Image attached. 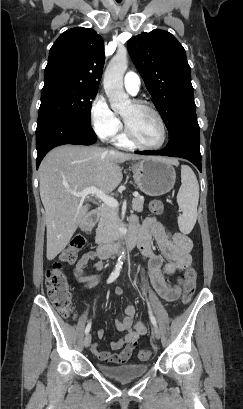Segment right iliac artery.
<instances>
[{"instance_id": "1", "label": "right iliac artery", "mask_w": 243, "mask_h": 409, "mask_svg": "<svg viewBox=\"0 0 243 409\" xmlns=\"http://www.w3.org/2000/svg\"><path fill=\"white\" fill-rule=\"evenodd\" d=\"M123 265V261L122 260H118L114 271L111 273V275L109 276L107 283H112L114 280H116V278L119 276L121 268ZM91 329V321L87 324L86 329H85V334H88L89 331Z\"/></svg>"}]
</instances>
